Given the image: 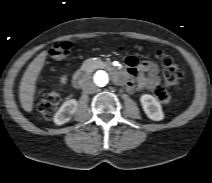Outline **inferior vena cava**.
I'll use <instances>...</instances> for the list:
<instances>
[{
  "mask_svg": "<svg viewBox=\"0 0 212 183\" xmlns=\"http://www.w3.org/2000/svg\"><path fill=\"white\" fill-rule=\"evenodd\" d=\"M97 89V86L93 83V82H87L84 86H83V91L87 94H91L94 93Z\"/></svg>",
  "mask_w": 212,
  "mask_h": 183,
  "instance_id": "inferior-vena-cava-1",
  "label": "inferior vena cava"
}]
</instances>
